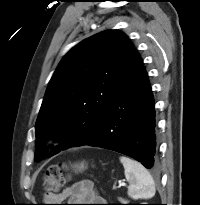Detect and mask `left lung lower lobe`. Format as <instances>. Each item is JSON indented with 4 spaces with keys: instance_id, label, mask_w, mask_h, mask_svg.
I'll return each mask as SVG.
<instances>
[{
    "instance_id": "left-lung-lower-lobe-1",
    "label": "left lung lower lobe",
    "mask_w": 200,
    "mask_h": 205,
    "mask_svg": "<svg viewBox=\"0 0 200 205\" xmlns=\"http://www.w3.org/2000/svg\"><path fill=\"white\" fill-rule=\"evenodd\" d=\"M82 145L125 154L147 169L156 167L154 99L143 61L135 50L105 115Z\"/></svg>"
}]
</instances>
